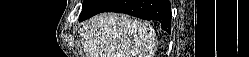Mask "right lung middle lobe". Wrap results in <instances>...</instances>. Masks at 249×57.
Segmentation results:
<instances>
[{
  "label": "right lung middle lobe",
  "instance_id": "dd1d6c3e",
  "mask_svg": "<svg viewBox=\"0 0 249 57\" xmlns=\"http://www.w3.org/2000/svg\"><path fill=\"white\" fill-rule=\"evenodd\" d=\"M91 2V0H84L83 9Z\"/></svg>",
  "mask_w": 249,
  "mask_h": 57
}]
</instances>
